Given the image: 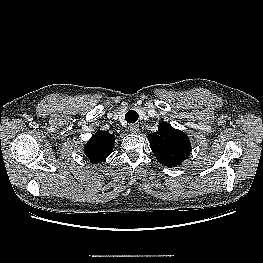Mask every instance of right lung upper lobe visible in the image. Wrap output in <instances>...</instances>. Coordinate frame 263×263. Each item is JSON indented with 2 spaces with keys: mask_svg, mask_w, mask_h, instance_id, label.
Wrapping results in <instances>:
<instances>
[{
  "mask_svg": "<svg viewBox=\"0 0 263 263\" xmlns=\"http://www.w3.org/2000/svg\"><path fill=\"white\" fill-rule=\"evenodd\" d=\"M115 136L106 131H98L85 146V154L92 163H100L111 153Z\"/></svg>",
  "mask_w": 263,
  "mask_h": 263,
  "instance_id": "cb5924a9",
  "label": "right lung upper lobe"
}]
</instances>
